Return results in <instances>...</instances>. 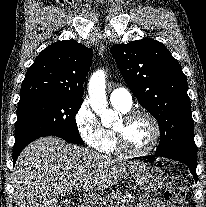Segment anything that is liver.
Masks as SVG:
<instances>
[{
  "instance_id": "liver-1",
  "label": "liver",
  "mask_w": 206,
  "mask_h": 207,
  "mask_svg": "<svg viewBox=\"0 0 206 207\" xmlns=\"http://www.w3.org/2000/svg\"><path fill=\"white\" fill-rule=\"evenodd\" d=\"M141 164L112 159L70 145L55 136L30 143L19 155L13 171L16 207H58L60 197L69 195L76 185L89 192L108 188L134 173ZM84 183V185H82Z\"/></svg>"
}]
</instances>
